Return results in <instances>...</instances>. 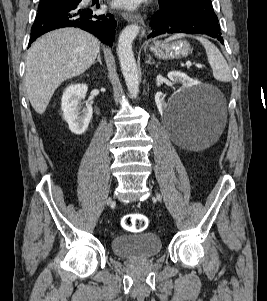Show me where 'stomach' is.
Listing matches in <instances>:
<instances>
[{
    "label": "stomach",
    "instance_id": "0dacf381",
    "mask_svg": "<svg viewBox=\"0 0 267 301\" xmlns=\"http://www.w3.org/2000/svg\"><path fill=\"white\" fill-rule=\"evenodd\" d=\"M150 50L155 56L162 59H179L186 57L191 50L187 41H173V42H155L151 45Z\"/></svg>",
    "mask_w": 267,
    "mask_h": 301
}]
</instances>
